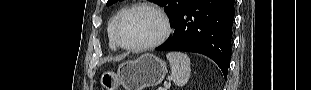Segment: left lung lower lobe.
Segmentation results:
<instances>
[{"label":"left lung lower lobe","instance_id":"1","mask_svg":"<svg viewBox=\"0 0 311 90\" xmlns=\"http://www.w3.org/2000/svg\"><path fill=\"white\" fill-rule=\"evenodd\" d=\"M234 0H192L174 23L173 36L155 50H178L210 57L227 77L231 59Z\"/></svg>","mask_w":311,"mask_h":90}]
</instances>
